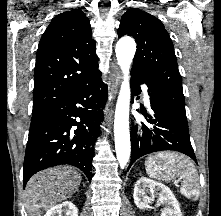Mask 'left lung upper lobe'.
Instances as JSON below:
<instances>
[{
  "label": "left lung upper lobe",
  "instance_id": "1",
  "mask_svg": "<svg viewBox=\"0 0 221 216\" xmlns=\"http://www.w3.org/2000/svg\"><path fill=\"white\" fill-rule=\"evenodd\" d=\"M124 35L134 37L137 43L131 72L139 71L165 103L186 118L177 59L162 22L140 9H129L118 29V36Z\"/></svg>",
  "mask_w": 221,
  "mask_h": 216
}]
</instances>
